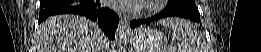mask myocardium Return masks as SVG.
I'll return each instance as SVG.
<instances>
[{
    "mask_svg": "<svg viewBox=\"0 0 261 52\" xmlns=\"http://www.w3.org/2000/svg\"><path fill=\"white\" fill-rule=\"evenodd\" d=\"M162 0H152L148 1L144 5L140 6L139 8L133 10L137 14H146V13H153L159 11L162 6Z\"/></svg>",
    "mask_w": 261,
    "mask_h": 52,
    "instance_id": "myocardium-1",
    "label": "myocardium"
}]
</instances>
